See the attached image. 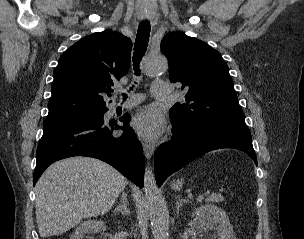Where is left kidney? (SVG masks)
I'll return each mask as SVG.
<instances>
[{
  "mask_svg": "<svg viewBox=\"0 0 304 239\" xmlns=\"http://www.w3.org/2000/svg\"><path fill=\"white\" fill-rule=\"evenodd\" d=\"M194 228L199 233H206L209 228L216 227L217 239H236L233 227L225 211L214 205L197 208L193 213Z\"/></svg>",
  "mask_w": 304,
  "mask_h": 239,
  "instance_id": "5707ae66",
  "label": "left kidney"
}]
</instances>
